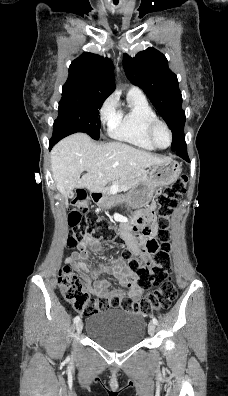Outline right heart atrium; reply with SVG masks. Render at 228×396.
<instances>
[{
  "instance_id": "obj_1",
  "label": "right heart atrium",
  "mask_w": 228,
  "mask_h": 396,
  "mask_svg": "<svg viewBox=\"0 0 228 396\" xmlns=\"http://www.w3.org/2000/svg\"><path fill=\"white\" fill-rule=\"evenodd\" d=\"M99 116L102 124L110 125L117 116V102L113 96L108 97L100 107Z\"/></svg>"
}]
</instances>
